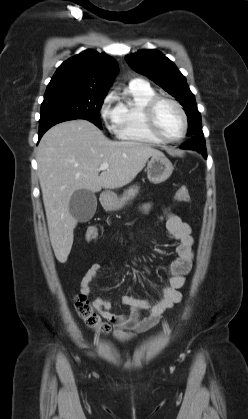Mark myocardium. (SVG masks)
<instances>
[{
  "mask_svg": "<svg viewBox=\"0 0 248 419\" xmlns=\"http://www.w3.org/2000/svg\"><path fill=\"white\" fill-rule=\"evenodd\" d=\"M161 102H168L172 104L178 110L182 118V122H183L182 132L179 136L175 138H166L157 129V125L155 121V111H156L157 106ZM143 119H144L145 128L148 131V133L161 143L179 142L186 136L187 131H188V119H187V115L183 107L176 100L166 97V96L156 95L153 98H151L144 106Z\"/></svg>",
  "mask_w": 248,
  "mask_h": 419,
  "instance_id": "f54148a6",
  "label": "myocardium"
}]
</instances>
